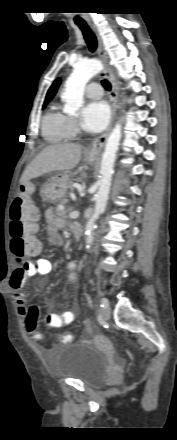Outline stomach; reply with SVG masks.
I'll list each match as a JSON object with an SVG mask.
<instances>
[{
  "label": "stomach",
  "mask_w": 177,
  "mask_h": 440,
  "mask_svg": "<svg viewBox=\"0 0 177 440\" xmlns=\"http://www.w3.org/2000/svg\"><path fill=\"white\" fill-rule=\"evenodd\" d=\"M97 157L86 156L85 161L89 164L94 163ZM70 185V175L66 172L52 176L41 188V197L44 202L56 203L66 194Z\"/></svg>",
  "instance_id": "stomach-1"
}]
</instances>
